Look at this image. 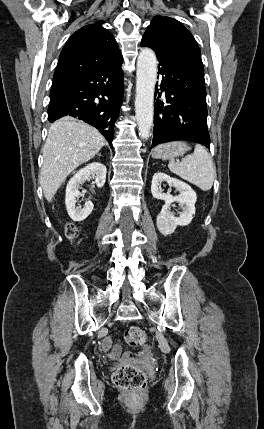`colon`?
<instances>
[{
    "instance_id": "obj_1",
    "label": "colon",
    "mask_w": 264,
    "mask_h": 429,
    "mask_svg": "<svg viewBox=\"0 0 264 429\" xmlns=\"http://www.w3.org/2000/svg\"><path fill=\"white\" fill-rule=\"evenodd\" d=\"M66 236L70 240L77 237V229L74 225L70 224L66 227ZM124 338L127 344L132 347L142 346L147 341L145 331L135 326L129 327L125 331ZM112 379L117 387L131 394L140 393L146 384L145 373L135 364L119 366L113 373Z\"/></svg>"
}]
</instances>
